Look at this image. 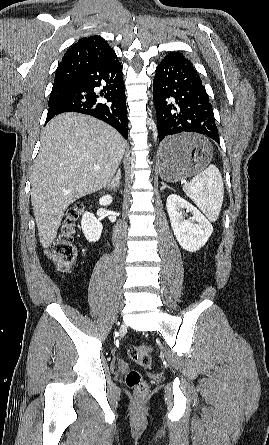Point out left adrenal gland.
<instances>
[{
  "mask_svg": "<svg viewBox=\"0 0 269 445\" xmlns=\"http://www.w3.org/2000/svg\"><path fill=\"white\" fill-rule=\"evenodd\" d=\"M162 184V187L160 188V190H164V189H166V188H168V189H170V190H173L172 188H170L169 186H167L165 183H161Z\"/></svg>",
  "mask_w": 269,
  "mask_h": 445,
  "instance_id": "1",
  "label": "left adrenal gland"
}]
</instances>
